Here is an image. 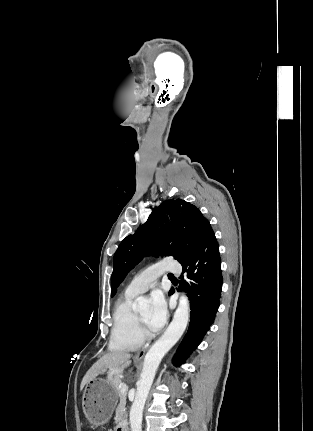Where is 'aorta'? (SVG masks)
<instances>
[{"mask_svg": "<svg viewBox=\"0 0 313 431\" xmlns=\"http://www.w3.org/2000/svg\"><path fill=\"white\" fill-rule=\"evenodd\" d=\"M138 309L147 306L146 298L140 296L136 299ZM190 316V304L186 295L179 298L178 307L174 313L173 320L164 332L149 349L144 358L141 378L137 384L134 402L130 409L131 431H142V416L144 405L153 383L157 368L164 355L178 342L184 333Z\"/></svg>", "mask_w": 313, "mask_h": 431, "instance_id": "aorta-1", "label": "aorta"}]
</instances>
